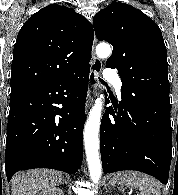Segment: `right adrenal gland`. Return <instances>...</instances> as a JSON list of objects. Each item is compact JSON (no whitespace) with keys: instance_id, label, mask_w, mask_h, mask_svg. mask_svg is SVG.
Returning <instances> with one entry per match:
<instances>
[{"instance_id":"1","label":"right adrenal gland","mask_w":178,"mask_h":195,"mask_svg":"<svg viewBox=\"0 0 178 195\" xmlns=\"http://www.w3.org/2000/svg\"><path fill=\"white\" fill-rule=\"evenodd\" d=\"M61 184H66V180L63 179L62 183Z\"/></svg>"}]
</instances>
